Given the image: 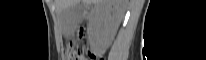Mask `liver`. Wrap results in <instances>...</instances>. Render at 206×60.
<instances>
[{"instance_id": "6515ba94", "label": "liver", "mask_w": 206, "mask_h": 60, "mask_svg": "<svg viewBox=\"0 0 206 60\" xmlns=\"http://www.w3.org/2000/svg\"><path fill=\"white\" fill-rule=\"evenodd\" d=\"M76 1L82 2L84 5H91L96 3L110 4V0H55V5L58 14L62 12L68 6L74 4ZM127 0H115L114 9L111 12L112 15V36L115 35L124 16Z\"/></svg>"}]
</instances>
